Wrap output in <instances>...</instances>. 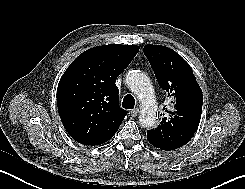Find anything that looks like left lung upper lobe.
I'll return each instance as SVG.
<instances>
[{
    "label": "left lung upper lobe",
    "instance_id": "5c2ea615",
    "mask_svg": "<svg viewBox=\"0 0 245 189\" xmlns=\"http://www.w3.org/2000/svg\"><path fill=\"white\" fill-rule=\"evenodd\" d=\"M143 51L160 87L168 92L174 104L172 111H166L168 118L164 117L157 128L147 131V140L156 148L174 150L189 142L198 128L202 90L190 65L174 50L146 45Z\"/></svg>",
    "mask_w": 245,
    "mask_h": 189
}]
</instances>
